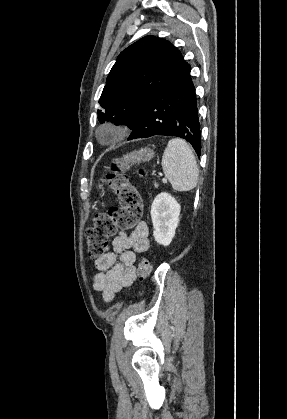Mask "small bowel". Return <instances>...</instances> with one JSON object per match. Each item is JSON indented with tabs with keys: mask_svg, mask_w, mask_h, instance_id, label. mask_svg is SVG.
I'll use <instances>...</instances> for the list:
<instances>
[{
	"mask_svg": "<svg viewBox=\"0 0 287 419\" xmlns=\"http://www.w3.org/2000/svg\"><path fill=\"white\" fill-rule=\"evenodd\" d=\"M149 229L138 223L130 232H122L112 241V249L95 260L98 273L93 283L105 301H111L121 290L130 289L136 278V255L149 248Z\"/></svg>",
	"mask_w": 287,
	"mask_h": 419,
	"instance_id": "obj_1",
	"label": "small bowel"
}]
</instances>
